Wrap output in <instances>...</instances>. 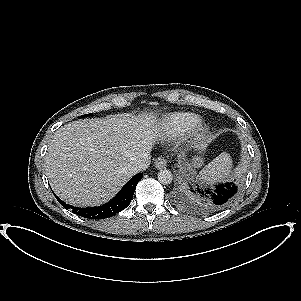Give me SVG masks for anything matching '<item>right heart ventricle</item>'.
<instances>
[{"mask_svg":"<svg viewBox=\"0 0 301 301\" xmlns=\"http://www.w3.org/2000/svg\"><path fill=\"white\" fill-rule=\"evenodd\" d=\"M199 120L200 116L192 112H173L163 118L160 128L167 137L177 138L189 132Z\"/></svg>","mask_w":301,"mask_h":301,"instance_id":"1","label":"right heart ventricle"}]
</instances>
